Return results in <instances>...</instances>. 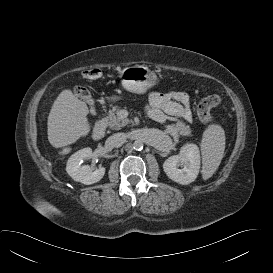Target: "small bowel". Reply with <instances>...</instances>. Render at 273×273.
Wrapping results in <instances>:
<instances>
[{"label":"small bowel","mask_w":273,"mask_h":273,"mask_svg":"<svg viewBox=\"0 0 273 273\" xmlns=\"http://www.w3.org/2000/svg\"><path fill=\"white\" fill-rule=\"evenodd\" d=\"M147 113L149 118L164 123L167 116L192 121L190 97L184 92L152 93L149 97Z\"/></svg>","instance_id":"obj_1"}]
</instances>
